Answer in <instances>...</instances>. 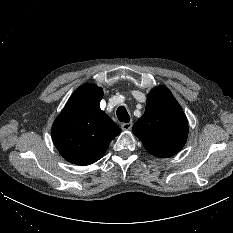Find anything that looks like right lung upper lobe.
Returning a JSON list of instances; mask_svg holds the SVG:
<instances>
[{"label":"right lung upper lobe","mask_w":233,"mask_h":233,"mask_svg":"<svg viewBox=\"0 0 233 233\" xmlns=\"http://www.w3.org/2000/svg\"><path fill=\"white\" fill-rule=\"evenodd\" d=\"M102 88L79 87L52 126L53 142L68 162L90 165L106 152L121 129L100 109Z\"/></svg>","instance_id":"obj_1"}]
</instances>
